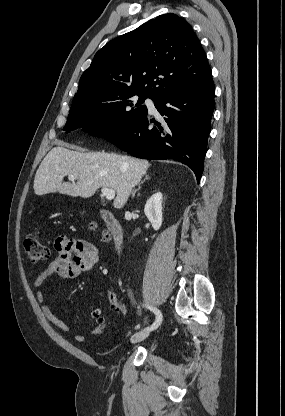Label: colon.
<instances>
[{
  "mask_svg": "<svg viewBox=\"0 0 285 416\" xmlns=\"http://www.w3.org/2000/svg\"><path fill=\"white\" fill-rule=\"evenodd\" d=\"M106 238H107V236H106ZM24 248H25L28 260L32 264H37V263H40L42 261H45L50 256L49 248L36 235H29L25 239ZM108 297H109V300H110L111 304L113 305V307L117 311H119L123 314L126 313L125 306L123 305L122 302H120L117 299L116 295L113 292H109ZM91 318L94 322L95 327H100V326H103L105 324L104 318L101 316L100 311L97 310V309H93L91 311Z\"/></svg>",
  "mask_w": 285,
  "mask_h": 416,
  "instance_id": "1",
  "label": "colon"
}]
</instances>
